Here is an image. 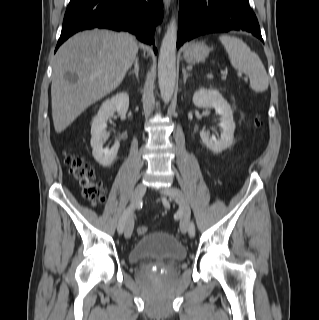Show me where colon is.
Wrapping results in <instances>:
<instances>
[{"instance_id": "colon-1", "label": "colon", "mask_w": 319, "mask_h": 320, "mask_svg": "<svg viewBox=\"0 0 319 320\" xmlns=\"http://www.w3.org/2000/svg\"><path fill=\"white\" fill-rule=\"evenodd\" d=\"M257 126L261 127L262 123L257 122ZM66 163L70 167L72 174L79 181L83 196L92 204L97 205L104 200V190L100 183L95 180L93 167L81 156L70 153L66 156ZM139 235L147 233L145 226L137 228Z\"/></svg>"}]
</instances>
